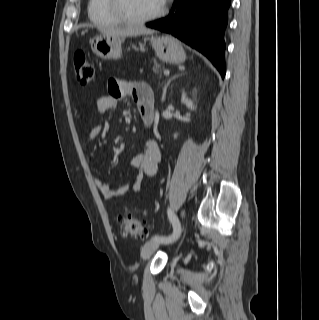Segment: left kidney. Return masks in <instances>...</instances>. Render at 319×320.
<instances>
[{"instance_id": "left-kidney-1", "label": "left kidney", "mask_w": 319, "mask_h": 320, "mask_svg": "<svg viewBox=\"0 0 319 320\" xmlns=\"http://www.w3.org/2000/svg\"><path fill=\"white\" fill-rule=\"evenodd\" d=\"M181 102L184 103L189 109H195L193 102L190 99H188L185 92L182 93Z\"/></svg>"}]
</instances>
